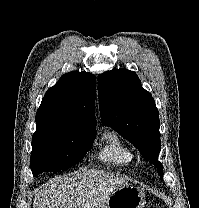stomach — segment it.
<instances>
[{
    "mask_svg": "<svg viewBox=\"0 0 199 208\" xmlns=\"http://www.w3.org/2000/svg\"><path fill=\"white\" fill-rule=\"evenodd\" d=\"M146 198L143 191L131 185L119 187L106 201L96 208H144Z\"/></svg>",
    "mask_w": 199,
    "mask_h": 208,
    "instance_id": "1",
    "label": "stomach"
}]
</instances>
